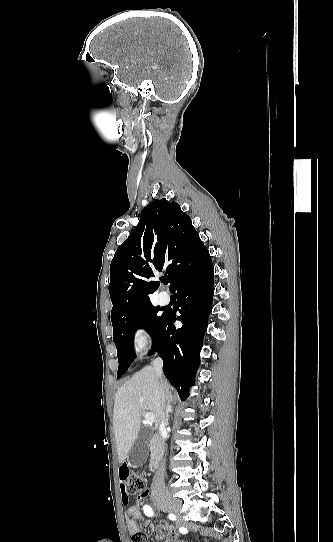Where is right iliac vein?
Returning <instances> with one entry per match:
<instances>
[{
  "mask_svg": "<svg viewBox=\"0 0 333 542\" xmlns=\"http://www.w3.org/2000/svg\"><path fill=\"white\" fill-rule=\"evenodd\" d=\"M153 498H155V496H153ZM156 504L160 509L171 511L175 515H178L179 511L181 510V502L178 499L170 496L168 493L164 494V501H158ZM179 520H182L181 516H179Z\"/></svg>",
  "mask_w": 333,
  "mask_h": 542,
  "instance_id": "right-iliac-vein-1",
  "label": "right iliac vein"
}]
</instances>
